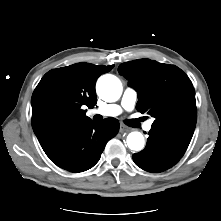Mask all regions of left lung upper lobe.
Masks as SVG:
<instances>
[{
  "mask_svg": "<svg viewBox=\"0 0 221 221\" xmlns=\"http://www.w3.org/2000/svg\"><path fill=\"white\" fill-rule=\"evenodd\" d=\"M118 71L138 93L137 110L155 118L152 129L190 143L197 109L188 76L177 66L150 59L122 63Z\"/></svg>",
  "mask_w": 221,
  "mask_h": 221,
  "instance_id": "left-lung-upper-lobe-1",
  "label": "left lung upper lobe"
}]
</instances>
